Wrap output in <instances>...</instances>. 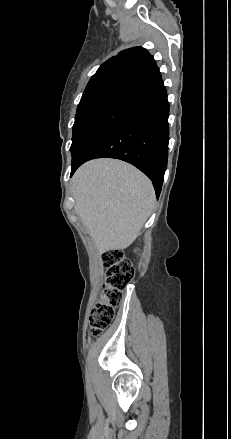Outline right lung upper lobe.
Returning a JSON list of instances; mask_svg holds the SVG:
<instances>
[{"label":"right lung upper lobe","mask_w":231,"mask_h":439,"mask_svg":"<svg viewBox=\"0 0 231 439\" xmlns=\"http://www.w3.org/2000/svg\"><path fill=\"white\" fill-rule=\"evenodd\" d=\"M161 80L159 69L147 50L130 48L100 66L90 79L78 106L110 95H135Z\"/></svg>","instance_id":"cb5924a9"}]
</instances>
